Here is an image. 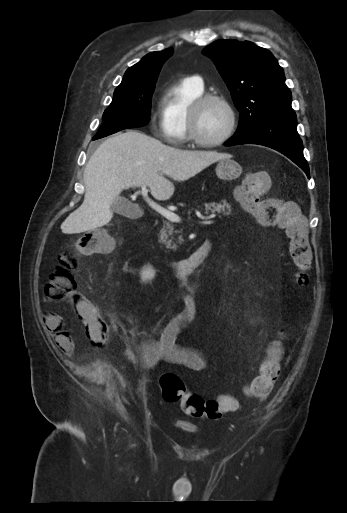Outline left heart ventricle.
I'll list each match as a JSON object with an SVG mask.
<instances>
[{
  "instance_id": "1",
  "label": "left heart ventricle",
  "mask_w": 347,
  "mask_h": 513,
  "mask_svg": "<svg viewBox=\"0 0 347 513\" xmlns=\"http://www.w3.org/2000/svg\"><path fill=\"white\" fill-rule=\"evenodd\" d=\"M229 123L228 112L217 102L203 106L197 117V130L205 140H216L226 131Z\"/></svg>"
}]
</instances>
